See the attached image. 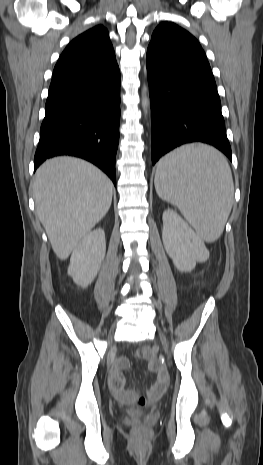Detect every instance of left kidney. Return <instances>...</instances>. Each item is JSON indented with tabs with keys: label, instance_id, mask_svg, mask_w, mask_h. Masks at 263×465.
<instances>
[{
	"label": "left kidney",
	"instance_id": "obj_1",
	"mask_svg": "<svg viewBox=\"0 0 263 465\" xmlns=\"http://www.w3.org/2000/svg\"><path fill=\"white\" fill-rule=\"evenodd\" d=\"M162 219L164 248L179 271L191 272L196 262L208 259L209 252L203 240L175 211L165 210Z\"/></svg>",
	"mask_w": 263,
	"mask_h": 465
}]
</instances>
